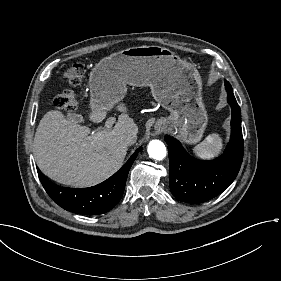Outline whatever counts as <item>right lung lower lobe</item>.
<instances>
[{
	"instance_id": "right-lung-lower-lobe-1",
	"label": "right lung lower lobe",
	"mask_w": 281,
	"mask_h": 281,
	"mask_svg": "<svg viewBox=\"0 0 281 281\" xmlns=\"http://www.w3.org/2000/svg\"><path fill=\"white\" fill-rule=\"evenodd\" d=\"M139 151L140 148L113 176L93 187L81 189L61 187L44 177L40 171L39 179L48 195L65 210L84 215L103 214L111 210L121 199L128 172Z\"/></svg>"
}]
</instances>
